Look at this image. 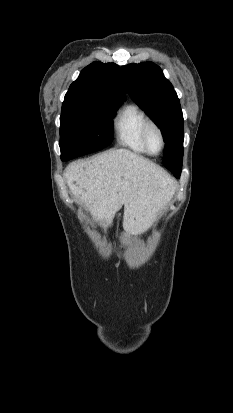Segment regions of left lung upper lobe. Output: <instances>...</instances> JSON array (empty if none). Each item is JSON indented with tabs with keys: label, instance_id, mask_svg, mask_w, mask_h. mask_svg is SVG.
<instances>
[{
	"label": "left lung upper lobe",
	"instance_id": "left-lung-upper-lobe-1",
	"mask_svg": "<svg viewBox=\"0 0 233 413\" xmlns=\"http://www.w3.org/2000/svg\"><path fill=\"white\" fill-rule=\"evenodd\" d=\"M131 98L161 129L166 147L163 165L173 174L183 159V114L177 94L159 66L152 62L122 67Z\"/></svg>",
	"mask_w": 233,
	"mask_h": 413
}]
</instances>
